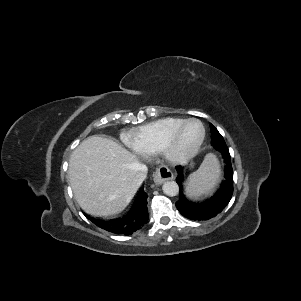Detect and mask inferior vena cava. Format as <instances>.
<instances>
[{
  "label": "inferior vena cava",
  "mask_w": 301,
  "mask_h": 301,
  "mask_svg": "<svg viewBox=\"0 0 301 301\" xmlns=\"http://www.w3.org/2000/svg\"><path fill=\"white\" fill-rule=\"evenodd\" d=\"M148 169L146 165L140 164L138 167V171L134 176L133 183L139 186L147 177Z\"/></svg>",
  "instance_id": "inferior-vena-cava-1"
}]
</instances>
